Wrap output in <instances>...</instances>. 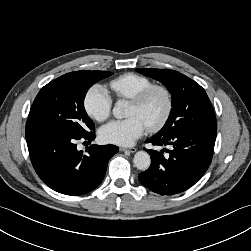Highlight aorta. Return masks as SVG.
Segmentation results:
<instances>
[{
	"label": "aorta",
	"mask_w": 251,
	"mask_h": 251,
	"mask_svg": "<svg viewBox=\"0 0 251 251\" xmlns=\"http://www.w3.org/2000/svg\"><path fill=\"white\" fill-rule=\"evenodd\" d=\"M113 115L117 119L128 117L129 103L122 99L115 103L113 108ZM151 164L150 155L146 151H138L134 156V165L138 170L145 171Z\"/></svg>",
	"instance_id": "obj_1"
}]
</instances>
